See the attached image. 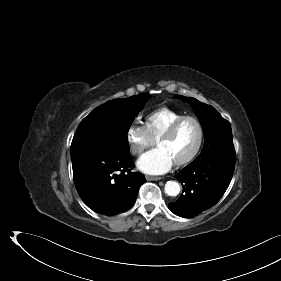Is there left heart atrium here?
Returning <instances> with one entry per match:
<instances>
[{"label":"left heart atrium","instance_id":"obj_1","mask_svg":"<svg viewBox=\"0 0 281 281\" xmlns=\"http://www.w3.org/2000/svg\"><path fill=\"white\" fill-rule=\"evenodd\" d=\"M174 164L172 158L158 148L142 155L137 161L138 168L150 175H159L168 172Z\"/></svg>","mask_w":281,"mask_h":281}]
</instances>
